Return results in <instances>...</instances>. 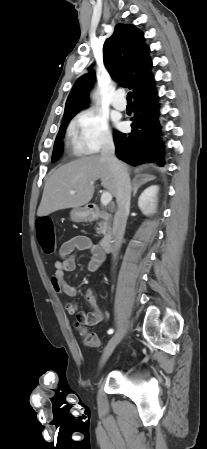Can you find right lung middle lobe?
<instances>
[{
    "label": "right lung middle lobe",
    "instance_id": "1",
    "mask_svg": "<svg viewBox=\"0 0 207 449\" xmlns=\"http://www.w3.org/2000/svg\"><path fill=\"white\" fill-rule=\"evenodd\" d=\"M71 118L72 117L64 119L63 122H62V125L60 126L58 135H57L55 143H54L53 154H52V162L57 161L61 157V154H62V139L64 137L65 129L67 127V124H68V122H69V120Z\"/></svg>",
    "mask_w": 207,
    "mask_h": 449
}]
</instances>
